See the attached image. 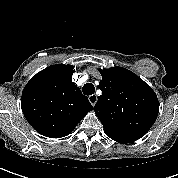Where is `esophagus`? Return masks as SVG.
I'll return each mask as SVG.
<instances>
[{
	"label": "esophagus",
	"instance_id": "34e87169",
	"mask_svg": "<svg viewBox=\"0 0 178 178\" xmlns=\"http://www.w3.org/2000/svg\"><path fill=\"white\" fill-rule=\"evenodd\" d=\"M88 100L94 106L97 102V96L95 94H92L88 97Z\"/></svg>",
	"mask_w": 178,
	"mask_h": 178
}]
</instances>
